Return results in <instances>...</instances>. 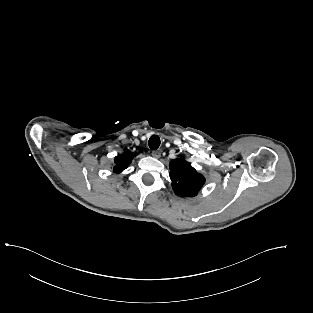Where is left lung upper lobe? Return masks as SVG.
<instances>
[{
    "instance_id": "5c2ea615",
    "label": "left lung upper lobe",
    "mask_w": 313,
    "mask_h": 313,
    "mask_svg": "<svg viewBox=\"0 0 313 313\" xmlns=\"http://www.w3.org/2000/svg\"><path fill=\"white\" fill-rule=\"evenodd\" d=\"M169 167L174 193L180 197L196 196L205 183L203 175L182 158L172 160Z\"/></svg>"
}]
</instances>
